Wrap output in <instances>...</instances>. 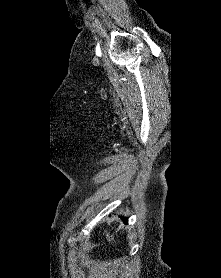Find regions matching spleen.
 Masks as SVG:
<instances>
[{
  "instance_id": "1",
  "label": "spleen",
  "mask_w": 221,
  "mask_h": 278,
  "mask_svg": "<svg viewBox=\"0 0 221 278\" xmlns=\"http://www.w3.org/2000/svg\"><path fill=\"white\" fill-rule=\"evenodd\" d=\"M106 239L108 240V242H111L114 240V237L113 236H109L108 233H106Z\"/></svg>"
}]
</instances>
